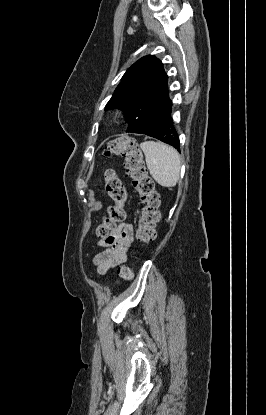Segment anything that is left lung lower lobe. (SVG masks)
<instances>
[{
  "instance_id": "1",
  "label": "left lung lower lobe",
  "mask_w": 266,
  "mask_h": 415,
  "mask_svg": "<svg viewBox=\"0 0 266 415\" xmlns=\"http://www.w3.org/2000/svg\"><path fill=\"white\" fill-rule=\"evenodd\" d=\"M143 134L159 139L180 151L179 138L171 114L161 125Z\"/></svg>"
}]
</instances>
